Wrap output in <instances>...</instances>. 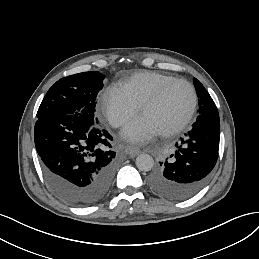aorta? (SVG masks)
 I'll return each instance as SVG.
<instances>
[{
    "instance_id": "762f6f07",
    "label": "aorta",
    "mask_w": 259,
    "mask_h": 259,
    "mask_svg": "<svg viewBox=\"0 0 259 259\" xmlns=\"http://www.w3.org/2000/svg\"><path fill=\"white\" fill-rule=\"evenodd\" d=\"M136 166L140 171H150L154 166V160L152 156L148 154H140L136 158Z\"/></svg>"
}]
</instances>
